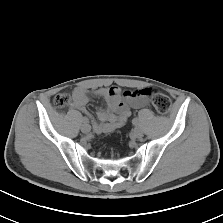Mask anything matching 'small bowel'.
Returning <instances> with one entry per match:
<instances>
[{
  "label": "small bowel",
  "mask_w": 223,
  "mask_h": 223,
  "mask_svg": "<svg viewBox=\"0 0 223 223\" xmlns=\"http://www.w3.org/2000/svg\"><path fill=\"white\" fill-rule=\"evenodd\" d=\"M149 92V89L122 92L115 86L90 92L84 87H77L73 91V107L84 114L85 123L91 122L96 133H109L126 123L131 115V108L142 109L148 105ZM90 96L106 102V107L97 111L99 122L85 109Z\"/></svg>",
  "instance_id": "c3829d8e"
}]
</instances>
